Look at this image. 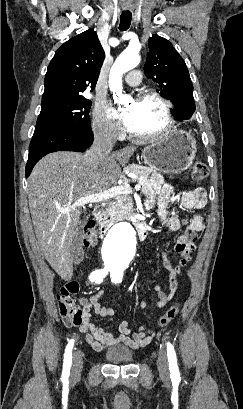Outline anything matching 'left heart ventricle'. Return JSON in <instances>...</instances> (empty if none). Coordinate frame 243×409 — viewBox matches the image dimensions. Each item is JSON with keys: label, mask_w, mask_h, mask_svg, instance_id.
<instances>
[{"label": "left heart ventricle", "mask_w": 243, "mask_h": 409, "mask_svg": "<svg viewBox=\"0 0 243 409\" xmlns=\"http://www.w3.org/2000/svg\"><path fill=\"white\" fill-rule=\"evenodd\" d=\"M125 112L130 115L129 131L133 134L154 133L165 125L163 107L153 99L133 100L127 105Z\"/></svg>", "instance_id": "obj_1"}]
</instances>
